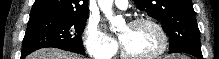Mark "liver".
Here are the masks:
<instances>
[{"mask_svg": "<svg viewBox=\"0 0 219 59\" xmlns=\"http://www.w3.org/2000/svg\"><path fill=\"white\" fill-rule=\"evenodd\" d=\"M27 59H84L76 54L55 48H43L30 54Z\"/></svg>", "mask_w": 219, "mask_h": 59, "instance_id": "1", "label": "liver"}]
</instances>
